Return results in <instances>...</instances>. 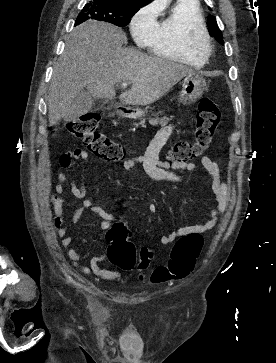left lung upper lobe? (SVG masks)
<instances>
[{"label":"left lung upper lobe","mask_w":276,"mask_h":363,"mask_svg":"<svg viewBox=\"0 0 276 363\" xmlns=\"http://www.w3.org/2000/svg\"><path fill=\"white\" fill-rule=\"evenodd\" d=\"M207 24H208V30L210 32V34L216 38V40L220 43V44H223L224 41L222 39V32L221 30L219 29L218 25H217V22H216V19L215 17L213 16H210L208 18V21H207Z\"/></svg>","instance_id":"5c2ea615"}]
</instances>
